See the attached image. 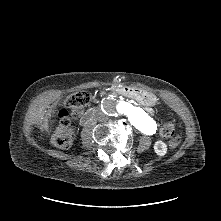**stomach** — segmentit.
<instances>
[{
    "instance_id": "0dacf381",
    "label": "stomach",
    "mask_w": 221,
    "mask_h": 221,
    "mask_svg": "<svg viewBox=\"0 0 221 221\" xmlns=\"http://www.w3.org/2000/svg\"><path fill=\"white\" fill-rule=\"evenodd\" d=\"M126 92L143 102L151 101L154 98L152 93L141 89L128 88L126 89Z\"/></svg>"
}]
</instances>
